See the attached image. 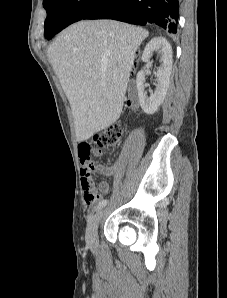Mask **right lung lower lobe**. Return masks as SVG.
<instances>
[{
    "instance_id": "right-lung-lower-lobe-1",
    "label": "right lung lower lobe",
    "mask_w": 227,
    "mask_h": 298,
    "mask_svg": "<svg viewBox=\"0 0 227 298\" xmlns=\"http://www.w3.org/2000/svg\"><path fill=\"white\" fill-rule=\"evenodd\" d=\"M178 0H102L83 19H115L135 25L157 24L177 32Z\"/></svg>"
}]
</instances>
